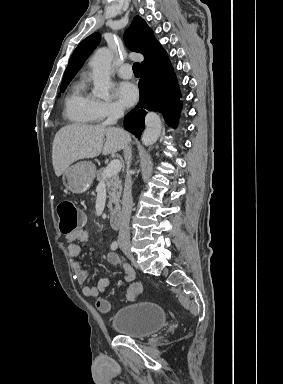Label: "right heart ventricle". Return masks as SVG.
<instances>
[{
	"instance_id": "e07e8e85",
	"label": "right heart ventricle",
	"mask_w": 283,
	"mask_h": 384,
	"mask_svg": "<svg viewBox=\"0 0 283 384\" xmlns=\"http://www.w3.org/2000/svg\"><path fill=\"white\" fill-rule=\"evenodd\" d=\"M96 99L85 91L83 76H77L69 85L64 101L65 118L77 126H91L97 122L95 111Z\"/></svg>"
}]
</instances>
